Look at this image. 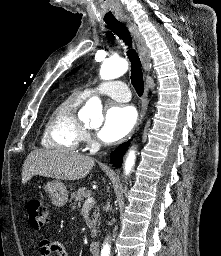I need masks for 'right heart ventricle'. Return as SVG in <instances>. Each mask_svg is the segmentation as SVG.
I'll list each match as a JSON object with an SVG mask.
<instances>
[{"mask_svg": "<svg viewBox=\"0 0 221 256\" xmlns=\"http://www.w3.org/2000/svg\"><path fill=\"white\" fill-rule=\"evenodd\" d=\"M83 99L82 94L74 93L52 109L42 134L41 143L44 147L66 152L77 149L84 129L76 112Z\"/></svg>", "mask_w": 221, "mask_h": 256, "instance_id": "obj_1", "label": "right heart ventricle"}]
</instances>
